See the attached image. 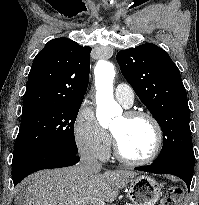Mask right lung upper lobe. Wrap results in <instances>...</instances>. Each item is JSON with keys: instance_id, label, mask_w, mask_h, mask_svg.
<instances>
[{"instance_id": "right-lung-upper-lobe-1", "label": "right lung upper lobe", "mask_w": 199, "mask_h": 205, "mask_svg": "<svg viewBox=\"0 0 199 205\" xmlns=\"http://www.w3.org/2000/svg\"><path fill=\"white\" fill-rule=\"evenodd\" d=\"M91 47L61 37L34 58L23 97V111L45 105L82 103L89 82Z\"/></svg>"}]
</instances>
